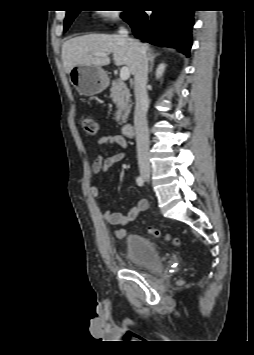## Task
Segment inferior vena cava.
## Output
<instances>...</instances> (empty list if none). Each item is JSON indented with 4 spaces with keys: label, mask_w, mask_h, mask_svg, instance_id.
I'll return each mask as SVG.
<instances>
[{
    "label": "inferior vena cava",
    "mask_w": 254,
    "mask_h": 355,
    "mask_svg": "<svg viewBox=\"0 0 254 355\" xmlns=\"http://www.w3.org/2000/svg\"><path fill=\"white\" fill-rule=\"evenodd\" d=\"M119 35L128 39V31L121 27ZM136 50V61L134 71V93L135 111L134 125L136 131V143L138 164L140 169H150L149 161V131L147 124V111L149 107L148 95L146 91L148 79V58L146 51L138 44H134Z\"/></svg>",
    "instance_id": "inferior-vena-cava-1"
}]
</instances>
